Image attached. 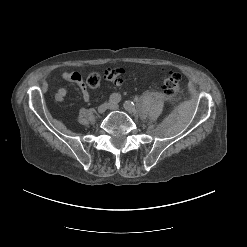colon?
<instances>
[{
	"label": "colon",
	"mask_w": 247,
	"mask_h": 247,
	"mask_svg": "<svg viewBox=\"0 0 247 247\" xmlns=\"http://www.w3.org/2000/svg\"><path fill=\"white\" fill-rule=\"evenodd\" d=\"M118 77L116 69H109L106 72V78L110 81ZM181 75L177 72L169 71L161 84V90L167 96H176L180 91ZM101 78L98 74H90L86 78V85L90 89H97L100 86Z\"/></svg>",
	"instance_id": "colon-1"
}]
</instances>
